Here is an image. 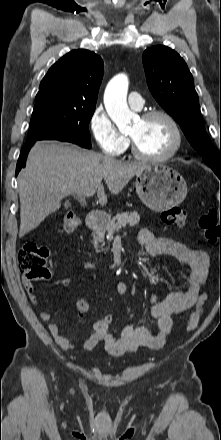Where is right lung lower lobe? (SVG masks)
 <instances>
[{"mask_svg": "<svg viewBox=\"0 0 221 440\" xmlns=\"http://www.w3.org/2000/svg\"><path fill=\"white\" fill-rule=\"evenodd\" d=\"M39 140L36 141H28L27 143L24 144V146L22 147L19 159L17 161V165H16V175L19 173V171L24 168L26 166V157L28 155V152L30 150V148ZM60 141H65V142H69L66 140H60Z\"/></svg>", "mask_w": 221, "mask_h": 440, "instance_id": "1", "label": "right lung lower lobe"}]
</instances>
